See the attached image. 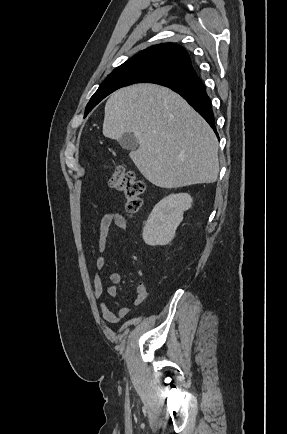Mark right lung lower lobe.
<instances>
[{
    "label": "right lung lower lobe",
    "mask_w": 287,
    "mask_h": 434,
    "mask_svg": "<svg viewBox=\"0 0 287 434\" xmlns=\"http://www.w3.org/2000/svg\"><path fill=\"white\" fill-rule=\"evenodd\" d=\"M166 87L179 93L208 122L217 134L210 98L195 70L190 71L181 80Z\"/></svg>",
    "instance_id": "98d812e1"
}]
</instances>
